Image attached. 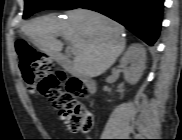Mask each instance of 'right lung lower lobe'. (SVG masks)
Masks as SVG:
<instances>
[{
    "label": "right lung lower lobe",
    "mask_w": 182,
    "mask_h": 140,
    "mask_svg": "<svg viewBox=\"0 0 182 140\" xmlns=\"http://www.w3.org/2000/svg\"><path fill=\"white\" fill-rule=\"evenodd\" d=\"M164 0H89L79 8L102 13L152 46L162 22Z\"/></svg>",
    "instance_id": "1"
}]
</instances>
